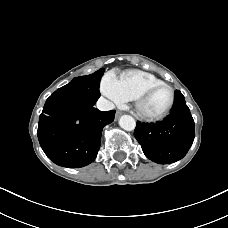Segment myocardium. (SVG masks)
Listing matches in <instances>:
<instances>
[{"label":"myocardium","mask_w":228,"mask_h":228,"mask_svg":"<svg viewBox=\"0 0 228 228\" xmlns=\"http://www.w3.org/2000/svg\"><path fill=\"white\" fill-rule=\"evenodd\" d=\"M159 87H166L170 90L171 97H170L169 104L160 113H157V114L146 113L142 108L143 102L152 91H154L155 89H157ZM134 101H135L136 112L140 118L147 120V121H157V120H160V119L164 118L165 116H167L169 114V112L171 111V109L173 108L174 103H175V91L172 88V86H170L169 84H167L165 82L155 83V84H151V85L147 86L146 88H144L137 95V97L134 99Z\"/></svg>","instance_id":"myocardium-1"}]
</instances>
